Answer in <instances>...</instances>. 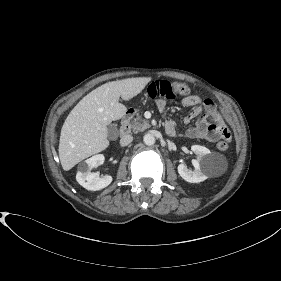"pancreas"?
Wrapping results in <instances>:
<instances>
[{"label": "pancreas", "mask_w": 281, "mask_h": 281, "mask_svg": "<svg viewBox=\"0 0 281 281\" xmlns=\"http://www.w3.org/2000/svg\"><path fill=\"white\" fill-rule=\"evenodd\" d=\"M128 130L133 131L134 133L142 132L150 127V124L147 120L143 119L141 116H137L132 120L127 122Z\"/></svg>", "instance_id": "pancreas-1"}]
</instances>
